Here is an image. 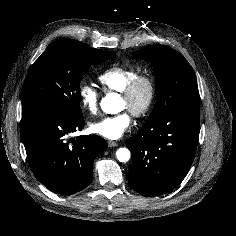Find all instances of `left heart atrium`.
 <instances>
[{"instance_id": "39dd6f15", "label": "left heart atrium", "mask_w": 236, "mask_h": 236, "mask_svg": "<svg viewBox=\"0 0 236 236\" xmlns=\"http://www.w3.org/2000/svg\"><path fill=\"white\" fill-rule=\"evenodd\" d=\"M132 117L124 111L118 115L103 118L92 123V130L108 139L120 138L131 126Z\"/></svg>"}]
</instances>
